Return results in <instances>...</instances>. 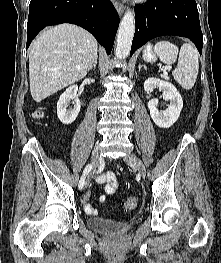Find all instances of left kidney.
I'll return each instance as SVG.
<instances>
[{"label":"left kidney","mask_w":221,"mask_h":263,"mask_svg":"<svg viewBox=\"0 0 221 263\" xmlns=\"http://www.w3.org/2000/svg\"><path fill=\"white\" fill-rule=\"evenodd\" d=\"M156 87L163 91V99L170 103L165 110L159 111L157 109L158 99H151L148 102L150 115L157 126L160 128H169L178 120L183 107V100L176 87L168 81L148 78L144 82V90L147 93L153 91Z\"/></svg>","instance_id":"1"}]
</instances>
